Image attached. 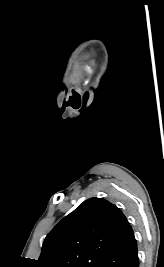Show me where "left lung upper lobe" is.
I'll use <instances>...</instances> for the list:
<instances>
[{
  "mask_svg": "<svg viewBox=\"0 0 164 267\" xmlns=\"http://www.w3.org/2000/svg\"><path fill=\"white\" fill-rule=\"evenodd\" d=\"M109 201L90 198L46 236L37 267H99L128 225Z\"/></svg>",
  "mask_w": 164,
  "mask_h": 267,
  "instance_id": "left-lung-upper-lobe-1",
  "label": "left lung upper lobe"
}]
</instances>
